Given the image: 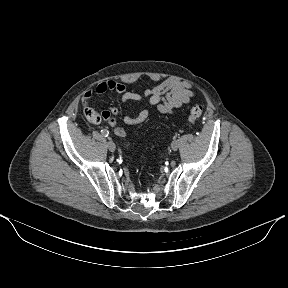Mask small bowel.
Returning <instances> with one entry per match:
<instances>
[{
    "label": "small bowel",
    "instance_id": "small-bowel-1",
    "mask_svg": "<svg viewBox=\"0 0 288 288\" xmlns=\"http://www.w3.org/2000/svg\"><path fill=\"white\" fill-rule=\"evenodd\" d=\"M106 92H115L120 96L123 105L129 102H139L148 100L150 106L155 107L160 113L174 114L175 110L189 104L194 97L195 92L190 83L177 79L168 78L157 86L146 89L142 93L129 91L125 84L116 80H107L96 85L92 90L85 92L83 102H87L94 94H104ZM102 117L112 127L116 136L124 138L127 136V130L122 127L116 116L120 114V110L116 107H109L102 111ZM150 112L147 108L142 109L137 115H124L123 122L126 125H138L145 122L149 118Z\"/></svg>",
    "mask_w": 288,
    "mask_h": 288
}]
</instances>
